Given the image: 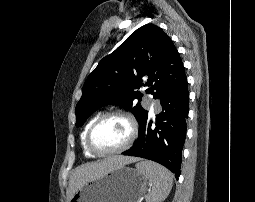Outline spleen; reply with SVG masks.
I'll list each match as a JSON object with an SVG mask.
<instances>
[{
	"instance_id": "3e777b00",
	"label": "spleen",
	"mask_w": 255,
	"mask_h": 202,
	"mask_svg": "<svg viewBox=\"0 0 255 202\" xmlns=\"http://www.w3.org/2000/svg\"><path fill=\"white\" fill-rule=\"evenodd\" d=\"M136 169L148 178L152 189L146 196V202H162L169 195L173 175L165 167L152 161L142 160L136 164Z\"/></svg>"
}]
</instances>
